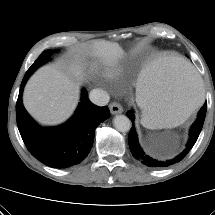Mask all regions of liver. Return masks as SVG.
Here are the masks:
<instances>
[{"mask_svg": "<svg viewBox=\"0 0 215 215\" xmlns=\"http://www.w3.org/2000/svg\"><path fill=\"white\" fill-rule=\"evenodd\" d=\"M94 53L107 63L122 56L117 43L98 42ZM82 66L73 64L68 71L55 66H43L31 76L23 93V104L29 114L43 125H56L68 119L79 100ZM189 116V115H188Z\"/></svg>", "mask_w": 215, "mask_h": 215, "instance_id": "1", "label": "liver"}]
</instances>
